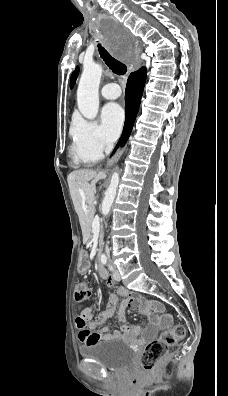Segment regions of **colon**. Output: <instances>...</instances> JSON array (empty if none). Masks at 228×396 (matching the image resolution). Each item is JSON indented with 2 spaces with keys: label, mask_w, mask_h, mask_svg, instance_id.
<instances>
[{
  "label": "colon",
  "mask_w": 228,
  "mask_h": 396,
  "mask_svg": "<svg viewBox=\"0 0 228 396\" xmlns=\"http://www.w3.org/2000/svg\"><path fill=\"white\" fill-rule=\"evenodd\" d=\"M90 297V291L85 282L79 281L74 288V298L82 306ZM76 326L83 329L86 326L84 311H81L76 318ZM184 336V328L175 325L161 338L149 341L141 355L140 365L146 372L153 371L157 365L165 358L169 346L181 340Z\"/></svg>",
  "instance_id": "1"
}]
</instances>
